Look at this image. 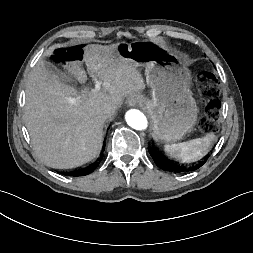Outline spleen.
<instances>
[{
	"mask_svg": "<svg viewBox=\"0 0 253 253\" xmlns=\"http://www.w3.org/2000/svg\"><path fill=\"white\" fill-rule=\"evenodd\" d=\"M215 139L213 133H208L205 137L196 138L190 141L166 144L164 150L166 155L183 160L185 162L195 161L205 156Z\"/></svg>",
	"mask_w": 253,
	"mask_h": 253,
	"instance_id": "obj_1",
	"label": "spleen"
}]
</instances>
